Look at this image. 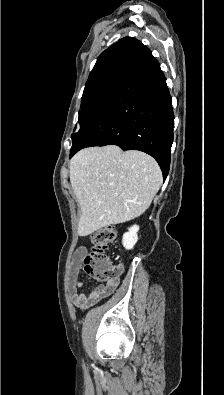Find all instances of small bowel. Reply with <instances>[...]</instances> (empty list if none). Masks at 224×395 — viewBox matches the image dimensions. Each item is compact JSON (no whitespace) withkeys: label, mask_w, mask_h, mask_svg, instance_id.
Returning <instances> with one entry per match:
<instances>
[{"label":"small bowel","mask_w":224,"mask_h":395,"mask_svg":"<svg viewBox=\"0 0 224 395\" xmlns=\"http://www.w3.org/2000/svg\"><path fill=\"white\" fill-rule=\"evenodd\" d=\"M87 253L85 246L79 247L73 257L69 270V294L73 303L79 308H88L95 305L99 300L109 296L118 286V280L91 289L89 292H78L84 288L80 279L81 266Z\"/></svg>","instance_id":"obj_1"}]
</instances>
